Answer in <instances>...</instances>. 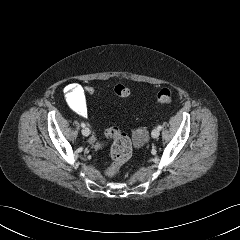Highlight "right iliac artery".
<instances>
[{
    "label": "right iliac artery",
    "instance_id": "right-iliac-artery-1",
    "mask_svg": "<svg viewBox=\"0 0 240 240\" xmlns=\"http://www.w3.org/2000/svg\"><path fill=\"white\" fill-rule=\"evenodd\" d=\"M81 126L84 128L86 125H85V123H81Z\"/></svg>",
    "mask_w": 240,
    "mask_h": 240
}]
</instances>
